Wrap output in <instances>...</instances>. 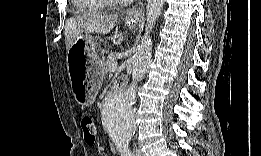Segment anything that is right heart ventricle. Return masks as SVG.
Here are the masks:
<instances>
[{
	"label": "right heart ventricle",
	"instance_id": "obj_1",
	"mask_svg": "<svg viewBox=\"0 0 261 156\" xmlns=\"http://www.w3.org/2000/svg\"><path fill=\"white\" fill-rule=\"evenodd\" d=\"M93 2V0H77L75 3L77 6L84 5L87 9H95L96 5Z\"/></svg>",
	"mask_w": 261,
	"mask_h": 156
}]
</instances>
